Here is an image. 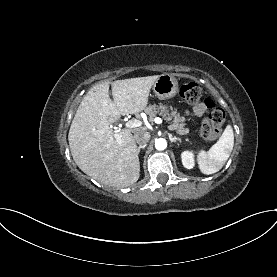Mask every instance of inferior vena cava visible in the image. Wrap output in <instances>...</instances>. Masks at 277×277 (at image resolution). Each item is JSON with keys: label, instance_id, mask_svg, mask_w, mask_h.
<instances>
[{"label": "inferior vena cava", "instance_id": "obj_1", "mask_svg": "<svg viewBox=\"0 0 277 277\" xmlns=\"http://www.w3.org/2000/svg\"><path fill=\"white\" fill-rule=\"evenodd\" d=\"M135 141L140 145H146L150 140V133L145 131H139L134 134Z\"/></svg>", "mask_w": 277, "mask_h": 277}]
</instances>
